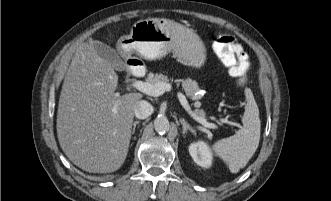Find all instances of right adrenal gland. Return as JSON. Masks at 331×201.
Listing matches in <instances>:
<instances>
[{"mask_svg":"<svg viewBox=\"0 0 331 201\" xmlns=\"http://www.w3.org/2000/svg\"><path fill=\"white\" fill-rule=\"evenodd\" d=\"M140 121H134L133 122V129H132V135L135 133L136 125L139 124Z\"/></svg>","mask_w":331,"mask_h":201,"instance_id":"1","label":"right adrenal gland"}]
</instances>
